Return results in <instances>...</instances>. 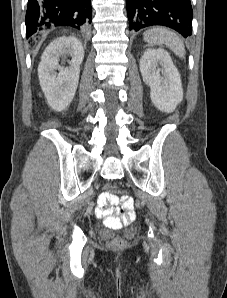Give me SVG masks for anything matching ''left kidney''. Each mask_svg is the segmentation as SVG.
Here are the masks:
<instances>
[{
	"instance_id": "5707ae66",
	"label": "left kidney",
	"mask_w": 227,
	"mask_h": 298,
	"mask_svg": "<svg viewBox=\"0 0 227 298\" xmlns=\"http://www.w3.org/2000/svg\"><path fill=\"white\" fill-rule=\"evenodd\" d=\"M143 81L150 86L152 103L162 112H172L183 99L179 71L164 49H147L140 60Z\"/></svg>"
}]
</instances>
